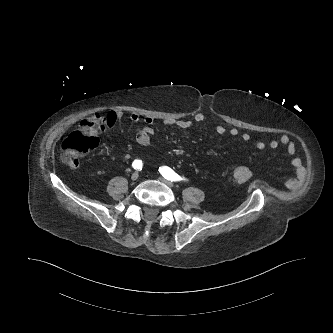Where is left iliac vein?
<instances>
[{
	"mask_svg": "<svg viewBox=\"0 0 333 333\" xmlns=\"http://www.w3.org/2000/svg\"><path fill=\"white\" fill-rule=\"evenodd\" d=\"M159 180H160L162 183H164L165 185H167V186H169V187H171V188H174L173 183H171L170 181L166 180L165 178L161 177V178H159Z\"/></svg>",
	"mask_w": 333,
	"mask_h": 333,
	"instance_id": "obj_1",
	"label": "left iliac vein"
}]
</instances>
